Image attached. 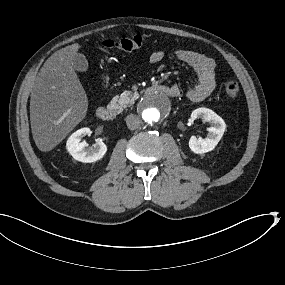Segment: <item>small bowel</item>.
I'll use <instances>...</instances> for the list:
<instances>
[{
	"label": "small bowel",
	"instance_id": "1",
	"mask_svg": "<svg viewBox=\"0 0 285 285\" xmlns=\"http://www.w3.org/2000/svg\"><path fill=\"white\" fill-rule=\"evenodd\" d=\"M162 50L154 51L150 55V62L157 64L165 58ZM179 61L187 64L196 75V83L190 87L186 96L193 102H201L211 95L216 87V64L215 61L198 51L178 49L173 53ZM171 88L176 92V96L181 93L179 85L174 84Z\"/></svg>",
	"mask_w": 285,
	"mask_h": 285
}]
</instances>
